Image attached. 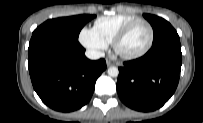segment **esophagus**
Instances as JSON below:
<instances>
[{
    "mask_svg": "<svg viewBox=\"0 0 203 123\" xmlns=\"http://www.w3.org/2000/svg\"><path fill=\"white\" fill-rule=\"evenodd\" d=\"M106 64H107L108 67H110V66L113 65V63H112L110 60H107V61H106Z\"/></svg>",
    "mask_w": 203,
    "mask_h": 123,
    "instance_id": "obj_1",
    "label": "esophagus"
}]
</instances>
